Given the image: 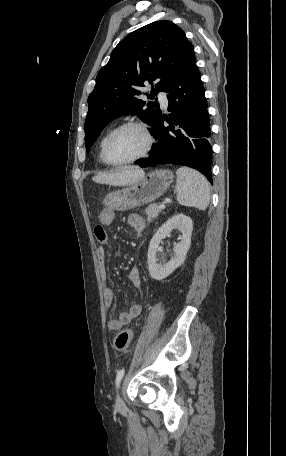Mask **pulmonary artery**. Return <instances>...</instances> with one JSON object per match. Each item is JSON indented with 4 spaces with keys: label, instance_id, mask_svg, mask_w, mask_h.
Listing matches in <instances>:
<instances>
[{
    "label": "pulmonary artery",
    "instance_id": "pulmonary-artery-1",
    "mask_svg": "<svg viewBox=\"0 0 286 456\" xmlns=\"http://www.w3.org/2000/svg\"><path fill=\"white\" fill-rule=\"evenodd\" d=\"M158 97L160 99V102H161L162 106L164 108H166L167 107V103H168L166 94L164 92H161V93L158 94Z\"/></svg>",
    "mask_w": 286,
    "mask_h": 456
}]
</instances>
